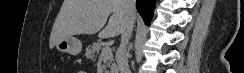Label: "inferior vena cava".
<instances>
[{
    "instance_id": "1",
    "label": "inferior vena cava",
    "mask_w": 244,
    "mask_h": 73,
    "mask_svg": "<svg viewBox=\"0 0 244 73\" xmlns=\"http://www.w3.org/2000/svg\"><path fill=\"white\" fill-rule=\"evenodd\" d=\"M121 7L127 22L121 35V43L116 52V61L120 73H130L126 46L132 34L135 22V0H121Z\"/></svg>"
}]
</instances>
